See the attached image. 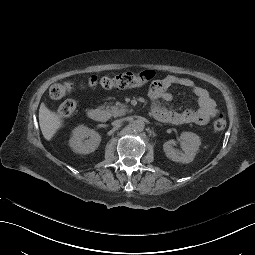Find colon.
<instances>
[{
	"label": "colon",
	"instance_id": "1",
	"mask_svg": "<svg viewBox=\"0 0 255 255\" xmlns=\"http://www.w3.org/2000/svg\"><path fill=\"white\" fill-rule=\"evenodd\" d=\"M154 72L145 70L138 73L124 72L114 77H98L91 76L85 83L76 86L73 82L56 83L50 87L49 94L53 99H61L68 93L80 89L102 87L105 89H126L131 87H141L146 85L154 78ZM77 108V103L74 99H67L58 107V114L67 117L74 113ZM227 120L224 114L219 113L214 122L213 129L216 132L222 131L226 128Z\"/></svg>",
	"mask_w": 255,
	"mask_h": 255
}]
</instances>
